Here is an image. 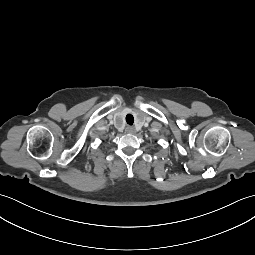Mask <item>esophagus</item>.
<instances>
[{
    "instance_id": "1",
    "label": "esophagus",
    "mask_w": 255,
    "mask_h": 255,
    "mask_svg": "<svg viewBox=\"0 0 255 255\" xmlns=\"http://www.w3.org/2000/svg\"><path fill=\"white\" fill-rule=\"evenodd\" d=\"M127 132H128V133H134V132H135L134 127L128 126V127H127Z\"/></svg>"
}]
</instances>
